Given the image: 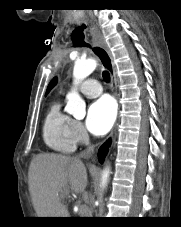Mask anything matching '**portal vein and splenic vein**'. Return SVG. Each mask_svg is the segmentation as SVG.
Returning a JSON list of instances; mask_svg holds the SVG:
<instances>
[{"instance_id":"18ae733b","label":"portal vein and splenic vein","mask_w":181,"mask_h":227,"mask_svg":"<svg viewBox=\"0 0 181 227\" xmlns=\"http://www.w3.org/2000/svg\"><path fill=\"white\" fill-rule=\"evenodd\" d=\"M80 209H81L83 212H86L87 206H86V205H81V206H80Z\"/></svg>"}]
</instances>
